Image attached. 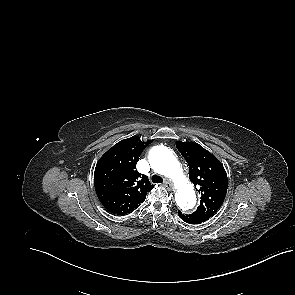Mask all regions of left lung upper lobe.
<instances>
[{"instance_id":"left-lung-upper-lobe-1","label":"left lung upper lobe","mask_w":295,"mask_h":295,"mask_svg":"<svg viewBox=\"0 0 295 295\" xmlns=\"http://www.w3.org/2000/svg\"><path fill=\"white\" fill-rule=\"evenodd\" d=\"M176 147L188 162L190 179L201 194L193 213L213 216L227 193V174L220 161L197 143L177 141Z\"/></svg>"}]
</instances>
